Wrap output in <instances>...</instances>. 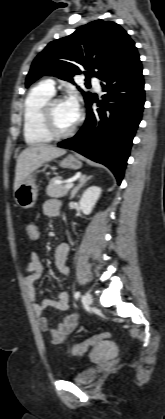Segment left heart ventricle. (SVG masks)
Returning a JSON list of instances; mask_svg holds the SVG:
<instances>
[{"mask_svg":"<svg viewBox=\"0 0 165 419\" xmlns=\"http://www.w3.org/2000/svg\"><path fill=\"white\" fill-rule=\"evenodd\" d=\"M53 117L59 131L70 129L76 121L72 118L65 101L57 102L53 108Z\"/></svg>","mask_w":165,"mask_h":419,"instance_id":"obj_1","label":"left heart ventricle"}]
</instances>
